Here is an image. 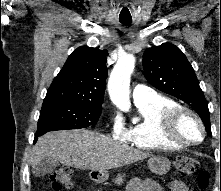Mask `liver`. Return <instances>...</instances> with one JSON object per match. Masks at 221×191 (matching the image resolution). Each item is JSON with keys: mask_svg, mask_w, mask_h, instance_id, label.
I'll return each mask as SVG.
<instances>
[{"mask_svg": "<svg viewBox=\"0 0 221 191\" xmlns=\"http://www.w3.org/2000/svg\"><path fill=\"white\" fill-rule=\"evenodd\" d=\"M103 134L86 129L48 132L40 137L30 160L34 168L41 160L52 158L63 165L91 171H107L150 157Z\"/></svg>", "mask_w": 221, "mask_h": 191, "instance_id": "6515ba94", "label": "liver"}]
</instances>
